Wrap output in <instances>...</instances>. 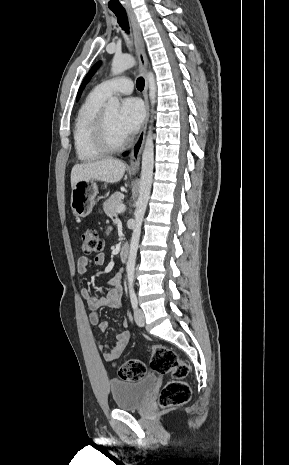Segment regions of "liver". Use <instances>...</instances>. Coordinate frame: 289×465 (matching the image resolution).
Segmentation results:
<instances>
[{"mask_svg": "<svg viewBox=\"0 0 289 465\" xmlns=\"http://www.w3.org/2000/svg\"><path fill=\"white\" fill-rule=\"evenodd\" d=\"M126 170L123 161L118 159H104L92 163L77 164L71 171V187L80 180H99L106 183L119 182Z\"/></svg>", "mask_w": 289, "mask_h": 465, "instance_id": "6515ba94", "label": "liver"}]
</instances>
